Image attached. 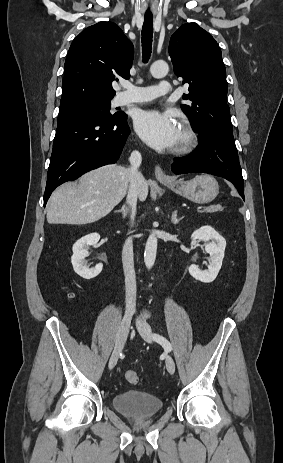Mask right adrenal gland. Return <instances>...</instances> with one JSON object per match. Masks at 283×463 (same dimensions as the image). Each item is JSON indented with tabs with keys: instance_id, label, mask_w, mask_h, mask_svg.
<instances>
[{
	"instance_id": "right-adrenal-gland-1",
	"label": "right adrenal gland",
	"mask_w": 283,
	"mask_h": 463,
	"mask_svg": "<svg viewBox=\"0 0 283 463\" xmlns=\"http://www.w3.org/2000/svg\"><path fill=\"white\" fill-rule=\"evenodd\" d=\"M129 206L127 204H123L122 208L120 210H116L115 212H120L122 214L123 218H126V216L129 213Z\"/></svg>"
}]
</instances>
